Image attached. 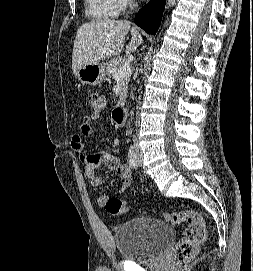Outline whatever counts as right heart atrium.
Returning <instances> with one entry per match:
<instances>
[{
  "instance_id": "1",
  "label": "right heart atrium",
  "mask_w": 253,
  "mask_h": 271,
  "mask_svg": "<svg viewBox=\"0 0 253 271\" xmlns=\"http://www.w3.org/2000/svg\"><path fill=\"white\" fill-rule=\"evenodd\" d=\"M114 2L116 3L120 10H123L132 5L135 2V0H114Z\"/></svg>"
}]
</instances>
